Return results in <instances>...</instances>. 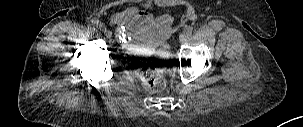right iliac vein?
<instances>
[{
	"mask_svg": "<svg viewBox=\"0 0 303 127\" xmlns=\"http://www.w3.org/2000/svg\"><path fill=\"white\" fill-rule=\"evenodd\" d=\"M104 34L106 35L107 38H111V32L107 30L106 28L103 30Z\"/></svg>",
	"mask_w": 303,
	"mask_h": 127,
	"instance_id": "right-iliac-vein-1",
	"label": "right iliac vein"
}]
</instances>
